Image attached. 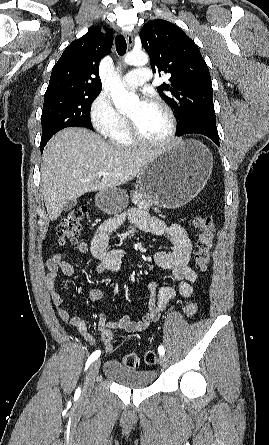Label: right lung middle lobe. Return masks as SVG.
Listing matches in <instances>:
<instances>
[{"label":"right lung middle lobe","mask_w":269,"mask_h":445,"mask_svg":"<svg viewBox=\"0 0 269 445\" xmlns=\"http://www.w3.org/2000/svg\"><path fill=\"white\" fill-rule=\"evenodd\" d=\"M99 93L55 92L45 94L41 115V151L50 138L59 130L71 127L92 129L89 109Z\"/></svg>","instance_id":"dd1d6c3e"}]
</instances>
